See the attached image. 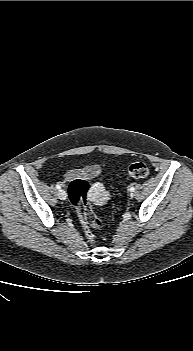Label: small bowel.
<instances>
[{"label":"small bowel","mask_w":193,"mask_h":351,"mask_svg":"<svg viewBox=\"0 0 193 351\" xmlns=\"http://www.w3.org/2000/svg\"><path fill=\"white\" fill-rule=\"evenodd\" d=\"M101 173L99 165L92 164L81 169H74L68 172L65 176L66 181H71L76 178H93Z\"/></svg>","instance_id":"1"}]
</instances>
